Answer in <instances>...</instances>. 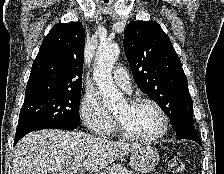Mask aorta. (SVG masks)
I'll list each match as a JSON object with an SVG mask.
<instances>
[{
	"label": "aorta",
	"instance_id": "1",
	"mask_svg": "<svg viewBox=\"0 0 224 174\" xmlns=\"http://www.w3.org/2000/svg\"><path fill=\"white\" fill-rule=\"evenodd\" d=\"M120 53L119 46L115 43L100 44L96 53V68L94 81L103 98V104L108 109H113L124 101V96L116 88L112 69Z\"/></svg>",
	"mask_w": 224,
	"mask_h": 174
}]
</instances>
